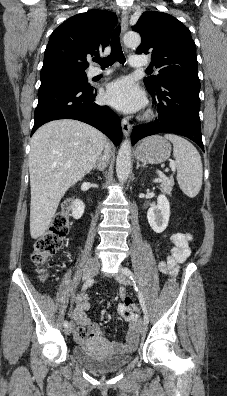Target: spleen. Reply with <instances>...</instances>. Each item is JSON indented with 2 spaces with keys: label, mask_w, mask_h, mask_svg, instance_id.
Instances as JSON below:
<instances>
[{
  "label": "spleen",
  "mask_w": 227,
  "mask_h": 396,
  "mask_svg": "<svg viewBox=\"0 0 227 396\" xmlns=\"http://www.w3.org/2000/svg\"><path fill=\"white\" fill-rule=\"evenodd\" d=\"M164 137L173 144L179 187L184 194L194 198L202 186L203 168L200 154L188 140L180 136L165 134Z\"/></svg>",
  "instance_id": "1"
}]
</instances>
